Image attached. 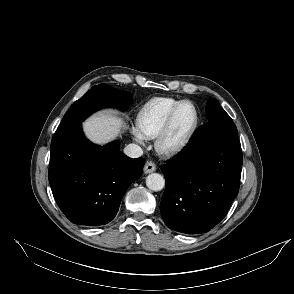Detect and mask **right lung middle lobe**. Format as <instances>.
I'll return each instance as SVG.
<instances>
[{
	"label": "right lung middle lobe",
	"instance_id": "dd1d6c3e",
	"mask_svg": "<svg viewBox=\"0 0 294 294\" xmlns=\"http://www.w3.org/2000/svg\"><path fill=\"white\" fill-rule=\"evenodd\" d=\"M130 101V96L126 92H120L115 103L111 105H97L92 101L90 95L86 94L73 103L64 115L58 129L64 128L70 125L81 123L93 112L103 107H116L125 110Z\"/></svg>",
	"mask_w": 294,
	"mask_h": 294
}]
</instances>
